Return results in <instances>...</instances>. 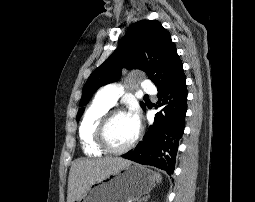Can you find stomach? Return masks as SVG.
I'll list each match as a JSON object with an SVG mask.
<instances>
[{"label": "stomach", "instance_id": "1", "mask_svg": "<svg viewBox=\"0 0 255 202\" xmlns=\"http://www.w3.org/2000/svg\"><path fill=\"white\" fill-rule=\"evenodd\" d=\"M155 174L141 166L129 165L90 185L74 202L136 201L155 186Z\"/></svg>", "mask_w": 255, "mask_h": 202}]
</instances>
